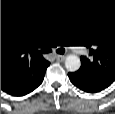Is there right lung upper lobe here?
I'll use <instances>...</instances> for the list:
<instances>
[{
	"label": "right lung upper lobe",
	"mask_w": 115,
	"mask_h": 114,
	"mask_svg": "<svg viewBox=\"0 0 115 114\" xmlns=\"http://www.w3.org/2000/svg\"><path fill=\"white\" fill-rule=\"evenodd\" d=\"M49 64L41 54L31 51L23 34L1 29V90L27 86Z\"/></svg>",
	"instance_id": "1"
}]
</instances>
